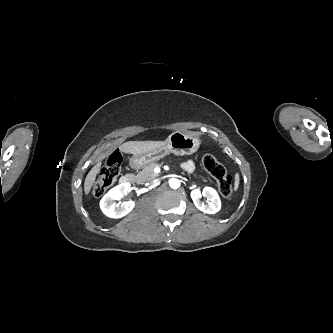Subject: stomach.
Returning a JSON list of instances; mask_svg holds the SVG:
<instances>
[{"label":"stomach","mask_w":333,"mask_h":333,"mask_svg":"<svg viewBox=\"0 0 333 333\" xmlns=\"http://www.w3.org/2000/svg\"><path fill=\"white\" fill-rule=\"evenodd\" d=\"M165 146L156 150L133 155L130 159V166L134 169L143 168L151 162L158 161L166 155H190L196 152L200 146V140L196 136L181 131H175L164 141Z\"/></svg>","instance_id":"stomach-1"}]
</instances>
